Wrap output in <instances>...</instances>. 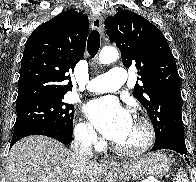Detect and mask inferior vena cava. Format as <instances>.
Instances as JSON below:
<instances>
[{"mask_svg": "<svg viewBox=\"0 0 196 182\" xmlns=\"http://www.w3.org/2000/svg\"><path fill=\"white\" fill-rule=\"evenodd\" d=\"M94 134L85 132L78 135L71 143L72 150V174L75 182H79V177L84 173L87 162L93 156Z\"/></svg>", "mask_w": 196, "mask_h": 182, "instance_id": "obj_1", "label": "inferior vena cava"}]
</instances>
